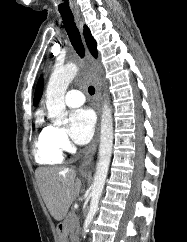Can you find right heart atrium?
I'll return each instance as SVG.
<instances>
[{
    "label": "right heart atrium",
    "instance_id": "1",
    "mask_svg": "<svg viewBox=\"0 0 187 242\" xmlns=\"http://www.w3.org/2000/svg\"><path fill=\"white\" fill-rule=\"evenodd\" d=\"M52 139L54 144L61 150H69L71 148V143L64 128L53 127Z\"/></svg>",
    "mask_w": 187,
    "mask_h": 242
}]
</instances>
